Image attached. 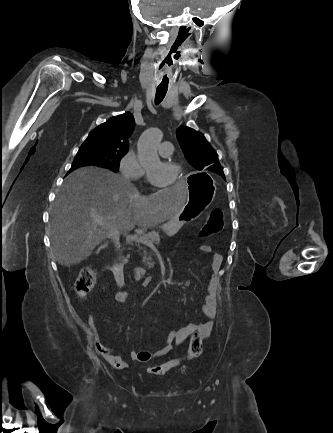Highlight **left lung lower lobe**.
<instances>
[{"label": "left lung lower lobe", "instance_id": "1", "mask_svg": "<svg viewBox=\"0 0 333 433\" xmlns=\"http://www.w3.org/2000/svg\"><path fill=\"white\" fill-rule=\"evenodd\" d=\"M219 175H221L224 179H225V176H224V174H219Z\"/></svg>", "mask_w": 333, "mask_h": 433}]
</instances>
